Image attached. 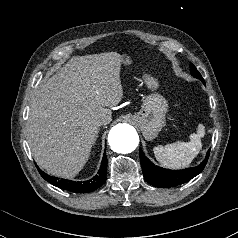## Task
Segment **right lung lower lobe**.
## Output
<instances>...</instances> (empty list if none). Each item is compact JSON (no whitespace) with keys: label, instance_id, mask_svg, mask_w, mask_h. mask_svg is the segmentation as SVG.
<instances>
[{"label":"right lung lower lobe","instance_id":"obj_1","mask_svg":"<svg viewBox=\"0 0 238 238\" xmlns=\"http://www.w3.org/2000/svg\"><path fill=\"white\" fill-rule=\"evenodd\" d=\"M40 175L49 183L52 185L68 190L71 192H77V193H88L96 190L97 188L101 187L105 181H106V172H107V156L104 153L102 164L100 166V169L98 171V174L93 177L92 179L84 182H76V181H70L66 179H59L52 177L50 175H47L45 172L39 169V167L36 165Z\"/></svg>","mask_w":238,"mask_h":238}]
</instances>
